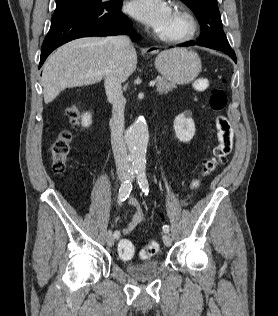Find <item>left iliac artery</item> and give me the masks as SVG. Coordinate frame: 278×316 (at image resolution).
<instances>
[{
  "instance_id": "44dca946",
  "label": "left iliac artery",
  "mask_w": 278,
  "mask_h": 316,
  "mask_svg": "<svg viewBox=\"0 0 278 316\" xmlns=\"http://www.w3.org/2000/svg\"><path fill=\"white\" fill-rule=\"evenodd\" d=\"M137 181H138V184H139L142 192L145 195H148V193H149V183H148V180H147V177H146V171H145L144 167H139L137 169ZM163 231H164V233H169L170 227L168 225H164L163 226Z\"/></svg>"
}]
</instances>
